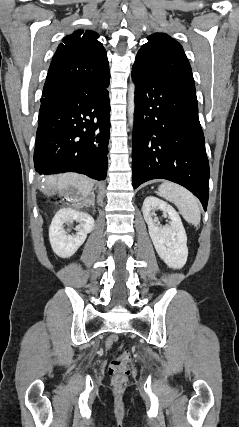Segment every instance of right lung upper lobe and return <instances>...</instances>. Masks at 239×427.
<instances>
[{
  "label": "right lung upper lobe",
  "instance_id": "obj_1",
  "mask_svg": "<svg viewBox=\"0 0 239 427\" xmlns=\"http://www.w3.org/2000/svg\"><path fill=\"white\" fill-rule=\"evenodd\" d=\"M94 31L63 38L49 67L43 94L72 82H93L109 74L107 54Z\"/></svg>",
  "mask_w": 239,
  "mask_h": 427
}]
</instances>
